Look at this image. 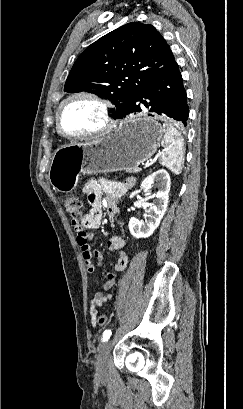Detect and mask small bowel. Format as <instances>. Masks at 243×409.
<instances>
[{
	"mask_svg": "<svg viewBox=\"0 0 243 409\" xmlns=\"http://www.w3.org/2000/svg\"><path fill=\"white\" fill-rule=\"evenodd\" d=\"M134 184V178H127L123 182L89 181L86 184L84 191L87 195L90 209L83 215L80 223L77 221H72L74 227L79 224L85 229H98L101 225L103 205L106 207L107 214L111 221H114L118 213V200L122 198L124 194L134 186ZM103 195L106 196L105 199H103ZM93 238V232H86L83 236L77 234V243L80 247L86 269L89 273H95L97 268L102 265L101 253L90 248L89 241ZM124 247V240L118 236L111 237L108 242V248L117 255L114 270L118 273L123 272L128 265V256L124 250ZM93 257L97 258L96 263L92 261ZM117 278L118 276L116 273H107V281L103 285L102 290L96 292L91 300L90 314L93 318L94 325L97 307H101L107 301L111 300L112 295L108 293V291L114 287Z\"/></svg>",
	"mask_w": 243,
	"mask_h": 409,
	"instance_id": "small-bowel-1",
	"label": "small bowel"
}]
</instances>
